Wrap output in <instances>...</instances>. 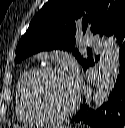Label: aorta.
I'll return each instance as SVG.
<instances>
[{"mask_svg":"<svg viewBox=\"0 0 125 128\" xmlns=\"http://www.w3.org/2000/svg\"><path fill=\"white\" fill-rule=\"evenodd\" d=\"M119 67V47L114 37L106 40L105 47L99 62V74L91 104L97 109L105 103L114 88Z\"/></svg>","mask_w":125,"mask_h":128,"instance_id":"aorta-1","label":"aorta"}]
</instances>
